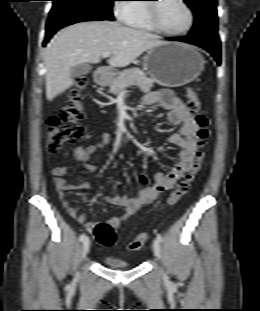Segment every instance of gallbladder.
Returning a JSON list of instances; mask_svg holds the SVG:
<instances>
[{
    "label": "gallbladder",
    "mask_w": 260,
    "mask_h": 311,
    "mask_svg": "<svg viewBox=\"0 0 260 311\" xmlns=\"http://www.w3.org/2000/svg\"><path fill=\"white\" fill-rule=\"evenodd\" d=\"M90 71H91V66L87 63H82V64L74 66L71 69V76L72 77L83 76L89 73Z\"/></svg>",
    "instance_id": "bac80fb5"
}]
</instances>
